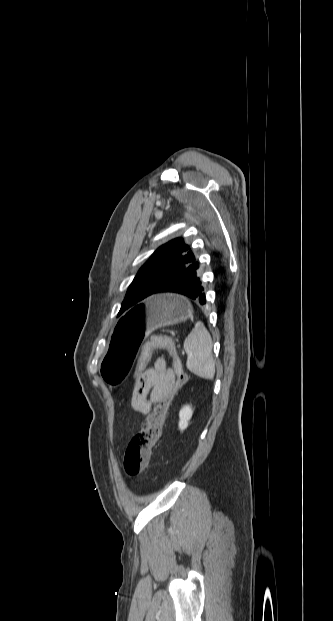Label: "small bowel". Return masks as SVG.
I'll return each instance as SVG.
<instances>
[{
    "label": "small bowel",
    "instance_id": "1",
    "mask_svg": "<svg viewBox=\"0 0 333 621\" xmlns=\"http://www.w3.org/2000/svg\"><path fill=\"white\" fill-rule=\"evenodd\" d=\"M175 375L159 358L152 368L145 370L134 387L131 405L134 410L149 415L152 405L162 401L174 388Z\"/></svg>",
    "mask_w": 333,
    "mask_h": 621
}]
</instances>
